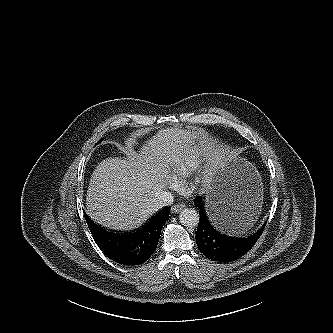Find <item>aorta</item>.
Listing matches in <instances>:
<instances>
[{
  "label": "aorta",
  "instance_id": "aorta-1",
  "mask_svg": "<svg viewBox=\"0 0 333 333\" xmlns=\"http://www.w3.org/2000/svg\"><path fill=\"white\" fill-rule=\"evenodd\" d=\"M180 222L186 227H195L199 223V214L192 208H185L180 212Z\"/></svg>",
  "mask_w": 333,
  "mask_h": 333
}]
</instances>
